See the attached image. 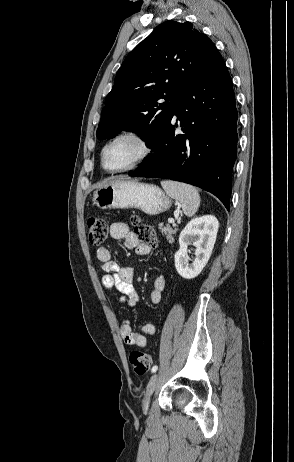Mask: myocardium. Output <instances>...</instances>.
<instances>
[{
	"label": "myocardium",
	"mask_w": 294,
	"mask_h": 462,
	"mask_svg": "<svg viewBox=\"0 0 294 462\" xmlns=\"http://www.w3.org/2000/svg\"><path fill=\"white\" fill-rule=\"evenodd\" d=\"M123 138H131L135 140L140 145V153L129 165L118 169H108L104 162L105 152L109 146ZM153 150L152 141L147 133L137 129L123 130L114 135L103 145L100 151V164L102 169L108 173H123L131 171L143 165L151 157Z\"/></svg>",
	"instance_id": "1"
}]
</instances>
